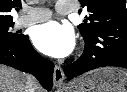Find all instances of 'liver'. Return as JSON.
<instances>
[{
	"label": "liver",
	"instance_id": "1",
	"mask_svg": "<svg viewBox=\"0 0 127 92\" xmlns=\"http://www.w3.org/2000/svg\"><path fill=\"white\" fill-rule=\"evenodd\" d=\"M29 75L0 64V92H26ZM35 92H45L36 83Z\"/></svg>",
	"mask_w": 127,
	"mask_h": 92
}]
</instances>
